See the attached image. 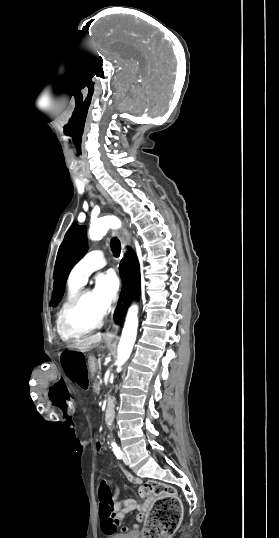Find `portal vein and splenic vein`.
Returning <instances> with one entry per match:
<instances>
[{"instance_id":"portal-vein-and-splenic-vein-1","label":"portal vein and splenic vein","mask_w":279,"mask_h":538,"mask_svg":"<svg viewBox=\"0 0 279 538\" xmlns=\"http://www.w3.org/2000/svg\"><path fill=\"white\" fill-rule=\"evenodd\" d=\"M100 385H103V380H100Z\"/></svg>"}]
</instances>
